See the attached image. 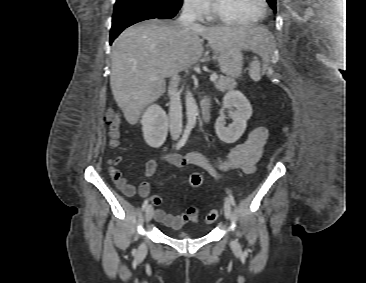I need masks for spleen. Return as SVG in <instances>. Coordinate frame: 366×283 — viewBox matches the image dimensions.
<instances>
[{"label":"spleen","mask_w":366,"mask_h":283,"mask_svg":"<svg viewBox=\"0 0 366 283\" xmlns=\"http://www.w3.org/2000/svg\"><path fill=\"white\" fill-rule=\"evenodd\" d=\"M249 75L253 81H259L261 79L260 63L257 57H254L250 64Z\"/></svg>","instance_id":"1"}]
</instances>
